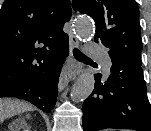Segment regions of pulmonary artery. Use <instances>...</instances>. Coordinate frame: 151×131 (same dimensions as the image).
I'll return each mask as SVG.
<instances>
[{
	"label": "pulmonary artery",
	"instance_id": "obj_1",
	"mask_svg": "<svg viewBox=\"0 0 151 131\" xmlns=\"http://www.w3.org/2000/svg\"><path fill=\"white\" fill-rule=\"evenodd\" d=\"M89 52L99 58L105 73L108 74L111 68V60L105 53L104 49L100 45L91 43L89 46Z\"/></svg>",
	"mask_w": 151,
	"mask_h": 131
}]
</instances>
